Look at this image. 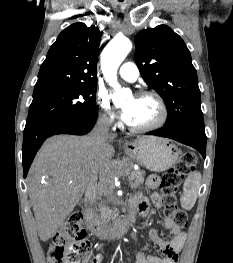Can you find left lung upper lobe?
I'll use <instances>...</instances> for the list:
<instances>
[{
  "instance_id": "5c2ea615",
  "label": "left lung upper lobe",
  "mask_w": 233,
  "mask_h": 263,
  "mask_svg": "<svg viewBox=\"0 0 233 263\" xmlns=\"http://www.w3.org/2000/svg\"><path fill=\"white\" fill-rule=\"evenodd\" d=\"M135 44V61L142 77L167 105L164 126L192 127L204 132L197 73L181 37L160 25L140 31Z\"/></svg>"
}]
</instances>
